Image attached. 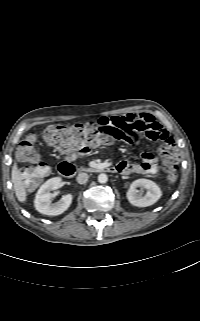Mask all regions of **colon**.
Returning <instances> with one entry per match:
<instances>
[{"label":"colon","instance_id":"obj_1","mask_svg":"<svg viewBox=\"0 0 200 321\" xmlns=\"http://www.w3.org/2000/svg\"><path fill=\"white\" fill-rule=\"evenodd\" d=\"M46 142L65 152L85 154L91 149L110 144L121 139V132L115 123H86L73 125H51L44 132ZM36 138L27 135L20 143L19 158L30 164L22 171L24 181L28 186H35L49 173V167L39 162L35 148ZM179 157L174 147H168L162 152V168L169 182L176 181V171Z\"/></svg>","mask_w":200,"mask_h":321}]
</instances>
